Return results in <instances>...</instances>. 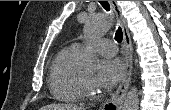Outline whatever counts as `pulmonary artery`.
Wrapping results in <instances>:
<instances>
[{"mask_svg":"<svg viewBox=\"0 0 171 110\" xmlns=\"http://www.w3.org/2000/svg\"><path fill=\"white\" fill-rule=\"evenodd\" d=\"M75 46L81 50L82 44L76 43ZM94 47L98 53L103 56L112 57L117 53V46L116 44L109 39L102 38L95 42Z\"/></svg>","mask_w":171,"mask_h":110,"instance_id":"obj_1","label":"pulmonary artery"}]
</instances>
